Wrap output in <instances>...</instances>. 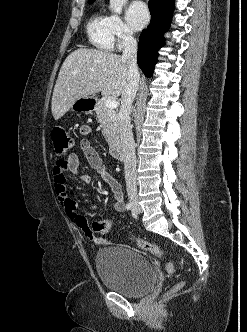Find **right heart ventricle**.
Masks as SVG:
<instances>
[{
	"label": "right heart ventricle",
	"mask_w": 247,
	"mask_h": 332,
	"mask_svg": "<svg viewBox=\"0 0 247 332\" xmlns=\"http://www.w3.org/2000/svg\"><path fill=\"white\" fill-rule=\"evenodd\" d=\"M87 34L90 43L100 50H111L115 37L111 27V15L103 10H96L87 23Z\"/></svg>",
	"instance_id": "1"
}]
</instances>
